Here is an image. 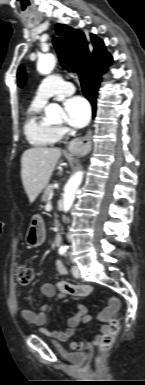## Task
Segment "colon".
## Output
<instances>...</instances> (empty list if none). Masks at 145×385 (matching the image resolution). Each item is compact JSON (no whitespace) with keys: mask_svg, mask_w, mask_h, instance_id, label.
<instances>
[{"mask_svg":"<svg viewBox=\"0 0 145 385\" xmlns=\"http://www.w3.org/2000/svg\"><path fill=\"white\" fill-rule=\"evenodd\" d=\"M14 278L19 286L26 287L32 281L33 271L28 265H17L14 269ZM62 291L68 295H76L80 293L79 289L73 285H63ZM119 329L120 323L118 318L111 317L109 319L108 330L99 341V349L102 353L111 348Z\"/></svg>","mask_w":145,"mask_h":385,"instance_id":"colon-1","label":"colon"}]
</instances>
